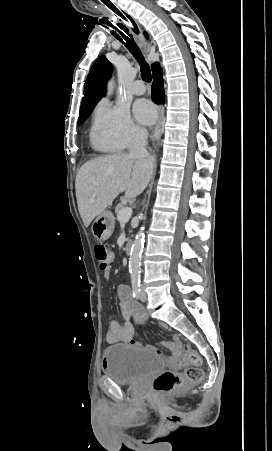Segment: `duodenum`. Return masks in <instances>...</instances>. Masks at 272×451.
I'll return each mask as SVG.
<instances>
[{
  "label": "duodenum",
  "mask_w": 272,
  "mask_h": 451,
  "mask_svg": "<svg viewBox=\"0 0 272 451\" xmlns=\"http://www.w3.org/2000/svg\"><path fill=\"white\" fill-rule=\"evenodd\" d=\"M125 250L127 254H130L132 250V243H127Z\"/></svg>",
  "instance_id": "1"
}]
</instances>
